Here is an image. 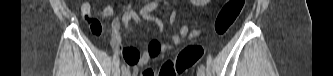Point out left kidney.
I'll return each instance as SVG.
<instances>
[{
    "label": "left kidney",
    "mask_w": 333,
    "mask_h": 76,
    "mask_svg": "<svg viewBox=\"0 0 333 76\" xmlns=\"http://www.w3.org/2000/svg\"><path fill=\"white\" fill-rule=\"evenodd\" d=\"M194 2H196V0H193ZM201 2H207V1H201Z\"/></svg>",
    "instance_id": "1"
}]
</instances>
